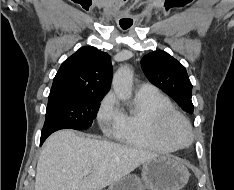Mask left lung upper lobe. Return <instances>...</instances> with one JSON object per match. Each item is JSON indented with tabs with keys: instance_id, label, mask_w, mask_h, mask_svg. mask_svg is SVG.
Listing matches in <instances>:
<instances>
[{
	"instance_id": "5c2ea615",
	"label": "left lung upper lobe",
	"mask_w": 234,
	"mask_h": 190,
	"mask_svg": "<svg viewBox=\"0 0 234 190\" xmlns=\"http://www.w3.org/2000/svg\"><path fill=\"white\" fill-rule=\"evenodd\" d=\"M141 67L152 84L171 96L185 111L193 113L192 84L180 62L158 50L145 55Z\"/></svg>"
}]
</instances>
